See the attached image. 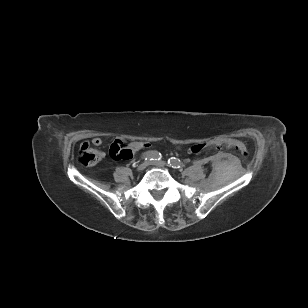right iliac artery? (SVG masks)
<instances>
[{
  "label": "right iliac artery",
  "mask_w": 308,
  "mask_h": 308,
  "mask_svg": "<svg viewBox=\"0 0 308 308\" xmlns=\"http://www.w3.org/2000/svg\"><path fill=\"white\" fill-rule=\"evenodd\" d=\"M142 159L153 161V160H160L161 154L157 151H147L142 155Z\"/></svg>",
  "instance_id": "1"
}]
</instances>
